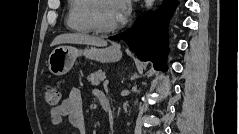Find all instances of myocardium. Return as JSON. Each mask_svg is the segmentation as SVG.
I'll use <instances>...</instances> for the list:
<instances>
[{
	"instance_id": "myocardium-1",
	"label": "myocardium",
	"mask_w": 239,
	"mask_h": 134,
	"mask_svg": "<svg viewBox=\"0 0 239 134\" xmlns=\"http://www.w3.org/2000/svg\"><path fill=\"white\" fill-rule=\"evenodd\" d=\"M102 1L104 0H91L90 5L88 7V11H87V19H88L89 25L95 32L110 33L118 29L119 26L117 24L111 27H105L99 23L98 17H97V9L100 2Z\"/></svg>"
}]
</instances>
